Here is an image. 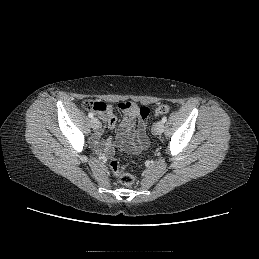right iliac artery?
Segmentation results:
<instances>
[{"label": "right iliac artery", "instance_id": "1", "mask_svg": "<svg viewBox=\"0 0 259 259\" xmlns=\"http://www.w3.org/2000/svg\"><path fill=\"white\" fill-rule=\"evenodd\" d=\"M88 116H89L90 118H93V117H94L93 113H91V112L88 114Z\"/></svg>", "mask_w": 259, "mask_h": 259}]
</instances>
